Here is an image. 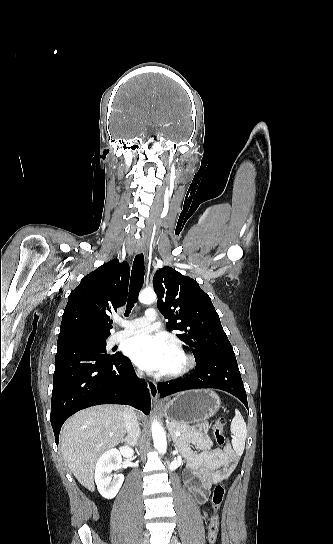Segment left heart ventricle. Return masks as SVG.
Returning <instances> with one entry per match:
<instances>
[{
  "label": "left heart ventricle",
  "mask_w": 333,
  "mask_h": 544,
  "mask_svg": "<svg viewBox=\"0 0 333 544\" xmlns=\"http://www.w3.org/2000/svg\"><path fill=\"white\" fill-rule=\"evenodd\" d=\"M181 365V359L176 354V352L172 349L168 358L167 365L163 372H169L176 368H178Z\"/></svg>",
  "instance_id": "1"
}]
</instances>
